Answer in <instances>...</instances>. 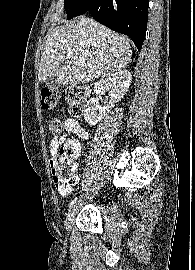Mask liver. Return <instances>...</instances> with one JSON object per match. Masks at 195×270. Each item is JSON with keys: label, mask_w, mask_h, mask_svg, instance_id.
Masks as SVG:
<instances>
[{"label": "liver", "mask_w": 195, "mask_h": 270, "mask_svg": "<svg viewBox=\"0 0 195 270\" xmlns=\"http://www.w3.org/2000/svg\"><path fill=\"white\" fill-rule=\"evenodd\" d=\"M131 57L127 39L82 16L48 33L38 80L56 73L60 85L88 83L121 70Z\"/></svg>", "instance_id": "1"}]
</instances>
